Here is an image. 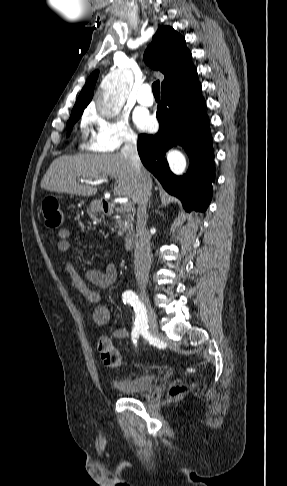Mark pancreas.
Returning a JSON list of instances; mask_svg holds the SVG:
<instances>
[{"label": "pancreas", "mask_w": 287, "mask_h": 486, "mask_svg": "<svg viewBox=\"0 0 287 486\" xmlns=\"http://www.w3.org/2000/svg\"><path fill=\"white\" fill-rule=\"evenodd\" d=\"M130 210H124L122 208L117 210L120 217L116 218L115 227L118 229V235L120 236H122L126 230L133 229L134 218L131 215Z\"/></svg>", "instance_id": "1"}]
</instances>
